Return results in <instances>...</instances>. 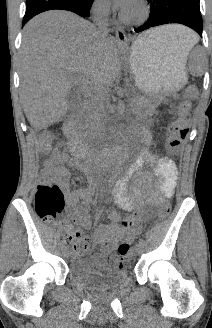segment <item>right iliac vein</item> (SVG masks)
<instances>
[{
	"mask_svg": "<svg viewBox=\"0 0 212 328\" xmlns=\"http://www.w3.org/2000/svg\"><path fill=\"white\" fill-rule=\"evenodd\" d=\"M63 255H64V257H66V258L69 257V255H70V251H69V249H68L67 247H64V249H63Z\"/></svg>",
	"mask_w": 212,
	"mask_h": 328,
	"instance_id": "right-iliac-vein-1",
	"label": "right iliac vein"
}]
</instances>
